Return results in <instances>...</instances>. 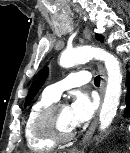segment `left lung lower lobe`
I'll return each instance as SVG.
<instances>
[{
    "label": "left lung lower lobe",
    "mask_w": 130,
    "mask_h": 153,
    "mask_svg": "<svg viewBox=\"0 0 130 153\" xmlns=\"http://www.w3.org/2000/svg\"><path fill=\"white\" fill-rule=\"evenodd\" d=\"M127 81H128V92H127V105L128 107H130V77L128 76L127 78Z\"/></svg>",
    "instance_id": "obj_1"
}]
</instances>
